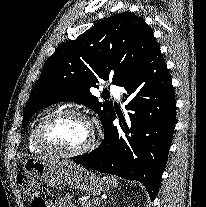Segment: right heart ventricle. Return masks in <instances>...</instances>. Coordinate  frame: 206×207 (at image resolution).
<instances>
[{"instance_id":"right-heart-ventricle-1","label":"right heart ventricle","mask_w":206,"mask_h":207,"mask_svg":"<svg viewBox=\"0 0 206 207\" xmlns=\"http://www.w3.org/2000/svg\"><path fill=\"white\" fill-rule=\"evenodd\" d=\"M48 114L50 113H47V114H44L42 115L41 117H39V119L36 121V123L33 125V127L31 128L30 132H29V136H28V148L31 152H35V153H39V152H42L43 150H41L40 148H38L36 145H35V142H34V130L36 128V126L38 125V123L45 117L47 116Z\"/></svg>"}]
</instances>
